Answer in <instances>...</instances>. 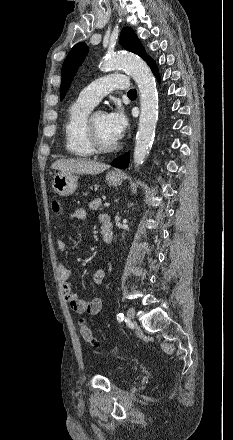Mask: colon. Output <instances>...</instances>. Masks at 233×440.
Listing matches in <instances>:
<instances>
[{"label":"colon","mask_w":233,"mask_h":440,"mask_svg":"<svg viewBox=\"0 0 233 440\" xmlns=\"http://www.w3.org/2000/svg\"><path fill=\"white\" fill-rule=\"evenodd\" d=\"M51 208L55 215H61L63 212L62 205L59 200L54 199L51 202ZM80 333L86 344L90 347H98L99 342L95 339L92 331L88 327L87 323L84 320L79 321ZM115 355L118 354V351L114 352Z\"/></svg>","instance_id":"colon-1"}]
</instances>
